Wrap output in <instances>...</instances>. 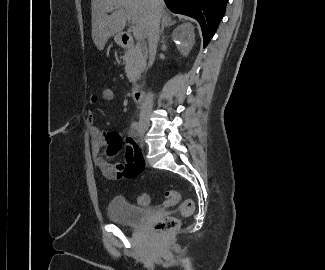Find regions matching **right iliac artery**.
I'll list each match as a JSON object with an SVG mask.
<instances>
[{"label":"right iliac artery","mask_w":325,"mask_h":270,"mask_svg":"<svg viewBox=\"0 0 325 270\" xmlns=\"http://www.w3.org/2000/svg\"><path fill=\"white\" fill-rule=\"evenodd\" d=\"M132 128L136 129V130L139 129L140 128V123L139 122H133L132 123Z\"/></svg>","instance_id":"82829eb1"}]
</instances>
